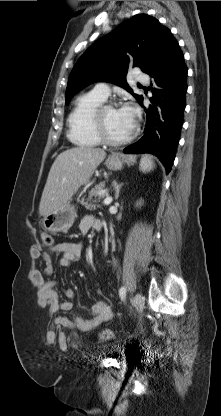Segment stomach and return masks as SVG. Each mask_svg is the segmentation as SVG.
Here are the masks:
<instances>
[{
  "label": "stomach",
  "mask_w": 221,
  "mask_h": 416,
  "mask_svg": "<svg viewBox=\"0 0 221 416\" xmlns=\"http://www.w3.org/2000/svg\"><path fill=\"white\" fill-rule=\"evenodd\" d=\"M135 162V157H124L119 154H113L105 161V165L109 170H120L123 164L128 165ZM76 211L74 206L67 203L63 207L57 209L49 215L44 216L43 226L46 231L51 233L67 232L73 225L76 218Z\"/></svg>",
  "instance_id": "0dacf381"
}]
</instances>
